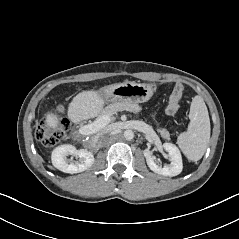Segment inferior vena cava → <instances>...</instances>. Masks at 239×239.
<instances>
[{"mask_svg":"<svg viewBox=\"0 0 239 239\" xmlns=\"http://www.w3.org/2000/svg\"><path fill=\"white\" fill-rule=\"evenodd\" d=\"M111 132V128L110 127H106L104 129H102L101 131H99L95 137H94V141L97 142L100 139H103L105 137V135H107L108 133Z\"/></svg>","mask_w":239,"mask_h":239,"instance_id":"602c4592","label":"inferior vena cava"}]
</instances>
